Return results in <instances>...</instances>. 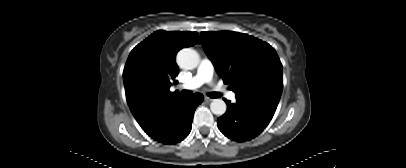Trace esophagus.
I'll return each mask as SVG.
<instances>
[{
	"label": "esophagus",
	"instance_id": "34e87169",
	"mask_svg": "<svg viewBox=\"0 0 406 168\" xmlns=\"http://www.w3.org/2000/svg\"><path fill=\"white\" fill-rule=\"evenodd\" d=\"M205 101H207V102H211L213 99L212 98H210V97H207V96H205Z\"/></svg>",
	"mask_w": 406,
	"mask_h": 168
}]
</instances>
